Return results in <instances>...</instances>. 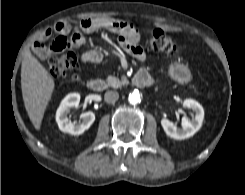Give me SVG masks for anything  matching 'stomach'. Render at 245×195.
Here are the masks:
<instances>
[{
    "mask_svg": "<svg viewBox=\"0 0 245 195\" xmlns=\"http://www.w3.org/2000/svg\"><path fill=\"white\" fill-rule=\"evenodd\" d=\"M170 74L178 82H185L189 79L188 71L185 67L179 65H173L170 69Z\"/></svg>",
    "mask_w": 245,
    "mask_h": 195,
    "instance_id": "stomach-1",
    "label": "stomach"
}]
</instances>
